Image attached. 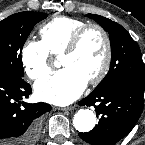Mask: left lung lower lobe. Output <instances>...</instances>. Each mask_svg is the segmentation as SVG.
Segmentation results:
<instances>
[{
	"instance_id": "0a47b994",
	"label": "left lung lower lobe",
	"mask_w": 145,
	"mask_h": 145,
	"mask_svg": "<svg viewBox=\"0 0 145 145\" xmlns=\"http://www.w3.org/2000/svg\"><path fill=\"white\" fill-rule=\"evenodd\" d=\"M144 87L120 83L104 91L91 93L79 105L94 106L98 125L79 133L91 145H113L125 137L138 121L143 109Z\"/></svg>"
}]
</instances>
